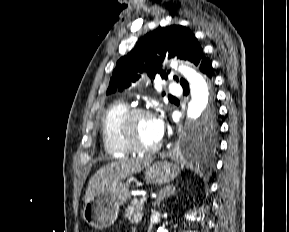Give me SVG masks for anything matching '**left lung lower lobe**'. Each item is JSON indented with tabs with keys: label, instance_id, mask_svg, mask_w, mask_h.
Wrapping results in <instances>:
<instances>
[{
	"label": "left lung lower lobe",
	"instance_id": "1",
	"mask_svg": "<svg viewBox=\"0 0 289 232\" xmlns=\"http://www.w3.org/2000/svg\"><path fill=\"white\" fill-rule=\"evenodd\" d=\"M199 69L202 73H204L209 79H211L213 74V68L210 60L208 58L203 57L201 59V62L199 64ZM184 94L187 95L189 92V85L187 82L182 84Z\"/></svg>",
	"mask_w": 289,
	"mask_h": 232
}]
</instances>
